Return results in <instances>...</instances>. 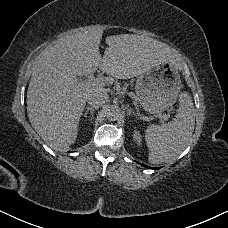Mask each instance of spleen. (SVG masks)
<instances>
[{"instance_id": "obj_1", "label": "spleen", "mask_w": 228, "mask_h": 228, "mask_svg": "<svg viewBox=\"0 0 228 228\" xmlns=\"http://www.w3.org/2000/svg\"><path fill=\"white\" fill-rule=\"evenodd\" d=\"M195 125V109L191 96L184 91L179 95V110L168 124H148L143 136L151 164L174 161L186 148Z\"/></svg>"}]
</instances>
